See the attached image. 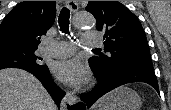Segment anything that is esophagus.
<instances>
[{
  "instance_id": "esophagus-1",
  "label": "esophagus",
  "mask_w": 171,
  "mask_h": 110,
  "mask_svg": "<svg viewBox=\"0 0 171 110\" xmlns=\"http://www.w3.org/2000/svg\"><path fill=\"white\" fill-rule=\"evenodd\" d=\"M66 5L72 13L78 11L79 4L77 1H66ZM78 102L79 100L77 96L73 92L67 91L61 102V107L63 110H75V106L78 104Z\"/></svg>"
}]
</instances>
